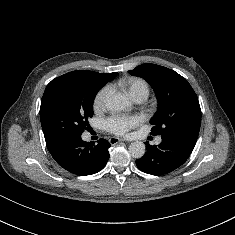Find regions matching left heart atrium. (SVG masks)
Returning <instances> with one entry per match:
<instances>
[{"mask_svg":"<svg viewBox=\"0 0 235 235\" xmlns=\"http://www.w3.org/2000/svg\"><path fill=\"white\" fill-rule=\"evenodd\" d=\"M141 122L137 115H114L104 122L106 130L116 135H126Z\"/></svg>","mask_w":235,"mask_h":235,"instance_id":"left-heart-atrium-1","label":"left heart atrium"}]
</instances>
